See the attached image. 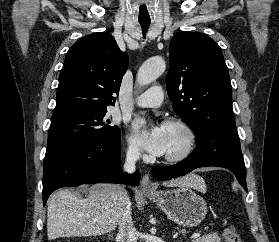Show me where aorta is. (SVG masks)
Returning a JSON list of instances; mask_svg holds the SVG:
<instances>
[{
  "instance_id": "obj_1",
  "label": "aorta",
  "mask_w": 279,
  "mask_h": 242,
  "mask_svg": "<svg viewBox=\"0 0 279 242\" xmlns=\"http://www.w3.org/2000/svg\"><path fill=\"white\" fill-rule=\"evenodd\" d=\"M166 68L162 57L156 56L148 59L142 64L137 74V82L140 85H147L156 80Z\"/></svg>"
}]
</instances>
